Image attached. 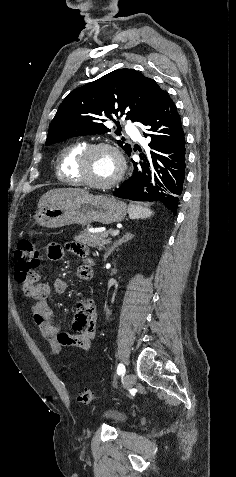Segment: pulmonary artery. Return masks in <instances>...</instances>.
<instances>
[{
  "label": "pulmonary artery",
  "instance_id": "1",
  "mask_svg": "<svg viewBox=\"0 0 236 477\" xmlns=\"http://www.w3.org/2000/svg\"><path fill=\"white\" fill-rule=\"evenodd\" d=\"M125 131L129 134L132 135L135 139H139L140 136L134 131L133 127L130 124H127L125 126Z\"/></svg>",
  "mask_w": 236,
  "mask_h": 477
}]
</instances>
